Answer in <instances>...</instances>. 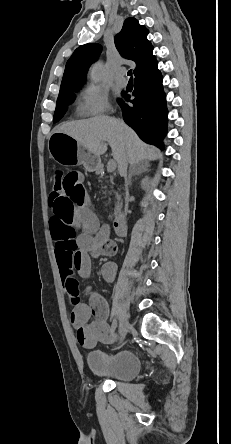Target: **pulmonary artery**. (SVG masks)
Segmentation results:
<instances>
[{"instance_id":"e3ab8cb5","label":"pulmonary artery","mask_w":231,"mask_h":444,"mask_svg":"<svg viewBox=\"0 0 231 444\" xmlns=\"http://www.w3.org/2000/svg\"><path fill=\"white\" fill-rule=\"evenodd\" d=\"M124 70H118L115 76V83L119 86V87H125L127 85V80L124 77Z\"/></svg>"}]
</instances>
